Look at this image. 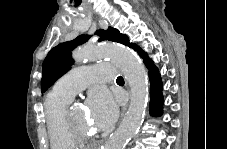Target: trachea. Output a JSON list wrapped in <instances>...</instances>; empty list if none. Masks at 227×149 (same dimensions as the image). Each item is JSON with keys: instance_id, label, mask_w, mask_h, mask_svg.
Returning a JSON list of instances; mask_svg holds the SVG:
<instances>
[{"instance_id": "trachea-1", "label": "trachea", "mask_w": 227, "mask_h": 149, "mask_svg": "<svg viewBox=\"0 0 227 149\" xmlns=\"http://www.w3.org/2000/svg\"><path fill=\"white\" fill-rule=\"evenodd\" d=\"M116 82H124L123 77H122V76H119V77L117 78Z\"/></svg>"}]
</instances>
